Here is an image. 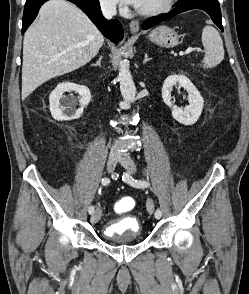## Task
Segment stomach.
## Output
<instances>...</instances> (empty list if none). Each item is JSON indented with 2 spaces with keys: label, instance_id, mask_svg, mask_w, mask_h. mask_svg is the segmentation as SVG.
I'll return each mask as SVG.
<instances>
[{
  "label": "stomach",
  "instance_id": "stomach-1",
  "mask_svg": "<svg viewBox=\"0 0 249 294\" xmlns=\"http://www.w3.org/2000/svg\"><path fill=\"white\" fill-rule=\"evenodd\" d=\"M149 39L163 47H174L179 43L177 32L165 25L159 26L151 31Z\"/></svg>",
  "mask_w": 249,
  "mask_h": 294
}]
</instances>
